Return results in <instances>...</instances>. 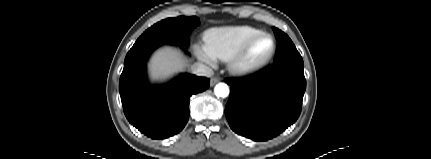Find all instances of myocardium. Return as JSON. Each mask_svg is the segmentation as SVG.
Segmentation results:
<instances>
[{"mask_svg":"<svg viewBox=\"0 0 431 159\" xmlns=\"http://www.w3.org/2000/svg\"><path fill=\"white\" fill-rule=\"evenodd\" d=\"M262 37H266L271 42V47L269 51L263 55L262 57L249 60L248 53L252 47V45ZM276 50V42L274 37L264 31H260L252 36H250L247 40L243 42V44L230 56L228 59V66L231 72L235 74H247L252 71H255L265 64H267L270 59L273 57Z\"/></svg>","mask_w":431,"mask_h":159,"instance_id":"1","label":"myocardium"}]
</instances>
